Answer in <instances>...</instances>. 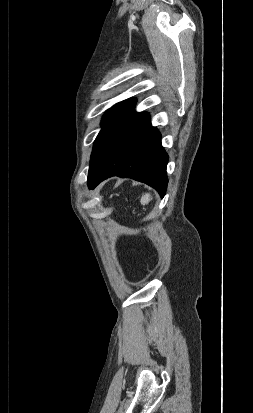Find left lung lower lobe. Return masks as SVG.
Listing matches in <instances>:
<instances>
[{
	"label": "left lung lower lobe",
	"instance_id": "1",
	"mask_svg": "<svg viewBox=\"0 0 253 413\" xmlns=\"http://www.w3.org/2000/svg\"><path fill=\"white\" fill-rule=\"evenodd\" d=\"M168 155L161 145L159 131L151 126L148 116L117 148L106 163L88 178L94 189L111 176L132 178L154 187L161 197L167 188Z\"/></svg>",
	"mask_w": 253,
	"mask_h": 413
}]
</instances>
